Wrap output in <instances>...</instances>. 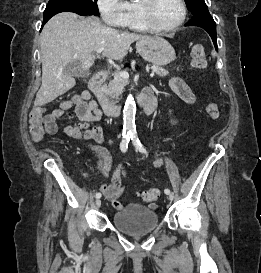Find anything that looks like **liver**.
<instances>
[{"label":"liver","instance_id":"6515ba94","mask_svg":"<svg viewBox=\"0 0 261 273\" xmlns=\"http://www.w3.org/2000/svg\"><path fill=\"white\" fill-rule=\"evenodd\" d=\"M146 38L150 37L107 27L95 16L56 14L41 32L42 84L34 105L50 103L75 86L74 76L63 73L66 65L79 62L82 69L88 70L99 48H104L103 57L122 61L133 42Z\"/></svg>","mask_w":261,"mask_h":273}]
</instances>
